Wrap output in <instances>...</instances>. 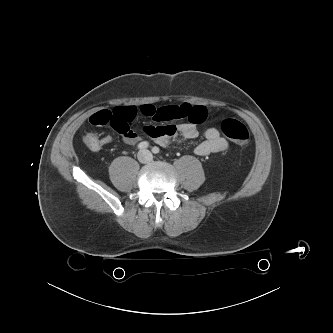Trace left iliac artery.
Wrapping results in <instances>:
<instances>
[{
  "label": "left iliac artery",
  "instance_id": "left-iliac-artery-1",
  "mask_svg": "<svg viewBox=\"0 0 333 333\" xmlns=\"http://www.w3.org/2000/svg\"><path fill=\"white\" fill-rule=\"evenodd\" d=\"M152 152H153L154 154H158V153L160 152L159 147L154 146V147L152 148Z\"/></svg>",
  "mask_w": 333,
  "mask_h": 333
}]
</instances>
